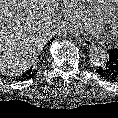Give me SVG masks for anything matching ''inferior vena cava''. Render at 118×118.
<instances>
[{"instance_id":"inferior-vena-cava-1","label":"inferior vena cava","mask_w":118,"mask_h":118,"mask_svg":"<svg viewBox=\"0 0 118 118\" xmlns=\"http://www.w3.org/2000/svg\"><path fill=\"white\" fill-rule=\"evenodd\" d=\"M62 28H63L62 25H60V24L59 25H56L55 28H54V32L55 33H58V32L61 31Z\"/></svg>"}]
</instances>
